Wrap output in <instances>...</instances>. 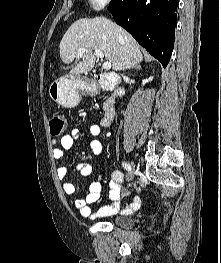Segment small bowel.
I'll return each instance as SVG.
<instances>
[{
	"label": "small bowel",
	"mask_w": 221,
	"mask_h": 263,
	"mask_svg": "<svg viewBox=\"0 0 221 263\" xmlns=\"http://www.w3.org/2000/svg\"><path fill=\"white\" fill-rule=\"evenodd\" d=\"M102 127L99 124H93L88 131H84L80 128H74L71 132L63 136L59 141H53L52 156L56 160H60L64 156L66 150H70L77 140L89 137V148L96 155H102L104 146L97 137L100 135ZM77 171L81 176L87 177L92 173V166L89 164H79ZM68 170L65 166H60L57 169V176L62 182V190L67 195H73L75 193V185L67 180ZM102 179L103 175L100 174L89 185V193L85 198H78L75 200V206L84 217H105L114 215L118 212L128 214L137 211L141 205L140 197H134L129 205L121 206V184L124 182V175L120 171H114L109 183L110 192L109 198L111 200L110 205L101 207L98 211L93 213L90 209V205L96 203L102 192ZM124 196H129L128 192L123 193Z\"/></svg>",
	"instance_id": "obj_1"
}]
</instances>
